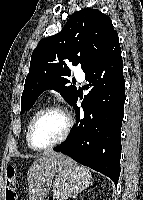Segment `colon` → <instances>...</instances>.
Wrapping results in <instances>:
<instances>
[{
	"label": "colon",
	"instance_id": "colon-1",
	"mask_svg": "<svg viewBox=\"0 0 143 200\" xmlns=\"http://www.w3.org/2000/svg\"><path fill=\"white\" fill-rule=\"evenodd\" d=\"M17 179L15 169L12 166L7 168V175L5 180V198L6 200H16Z\"/></svg>",
	"mask_w": 143,
	"mask_h": 200
}]
</instances>
